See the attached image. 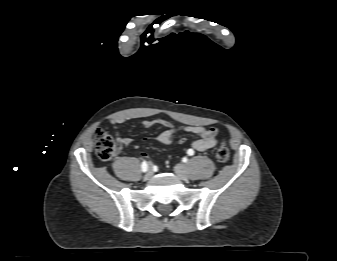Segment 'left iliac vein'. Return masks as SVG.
Here are the masks:
<instances>
[{
  "mask_svg": "<svg viewBox=\"0 0 337 261\" xmlns=\"http://www.w3.org/2000/svg\"><path fill=\"white\" fill-rule=\"evenodd\" d=\"M175 174L182 180L188 179L189 173L187 167L183 164H177L174 167Z\"/></svg>",
  "mask_w": 337,
  "mask_h": 261,
  "instance_id": "left-iliac-vein-1",
  "label": "left iliac vein"
}]
</instances>
